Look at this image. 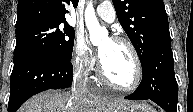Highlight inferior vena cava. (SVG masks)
<instances>
[{
    "mask_svg": "<svg viewBox=\"0 0 193 112\" xmlns=\"http://www.w3.org/2000/svg\"><path fill=\"white\" fill-rule=\"evenodd\" d=\"M84 76H85L84 71H80L74 76L73 93L75 95H82L89 93L87 88V81L84 78Z\"/></svg>",
    "mask_w": 193,
    "mask_h": 112,
    "instance_id": "obj_1",
    "label": "inferior vena cava"
}]
</instances>
